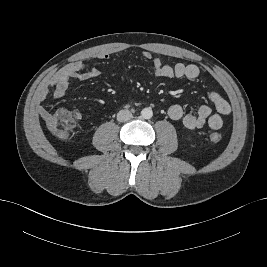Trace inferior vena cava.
Here are the masks:
<instances>
[{
    "label": "inferior vena cava",
    "mask_w": 267,
    "mask_h": 267,
    "mask_svg": "<svg viewBox=\"0 0 267 267\" xmlns=\"http://www.w3.org/2000/svg\"><path fill=\"white\" fill-rule=\"evenodd\" d=\"M131 118H132V113L127 109L120 110L117 113V120L119 122H126V121L130 120Z\"/></svg>",
    "instance_id": "1"
}]
</instances>
